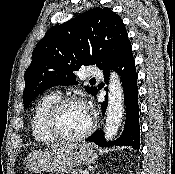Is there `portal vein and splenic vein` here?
Here are the masks:
<instances>
[{
  "instance_id": "portal-vein-and-splenic-vein-1",
  "label": "portal vein and splenic vein",
  "mask_w": 175,
  "mask_h": 174,
  "mask_svg": "<svg viewBox=\"0 0 175 174\" xmlns=\"http://www.w3.org/2000/svg\"><path fill=\"white\" fill-rule=\"evenodd\" d=\"M83 174H89V172L88 171H84Z\"/></svg>"
}]
</instances>
